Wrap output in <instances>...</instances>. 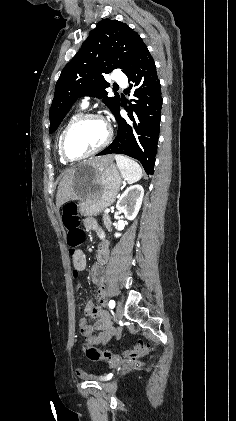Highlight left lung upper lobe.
<instances>
[{"instance_id": "5c2ea615", "label": "left lung upper lobe", "mask_w": 236, "mask_h": 421, "mask_svg": "<svg viewBox=\"0 0 236 421\" xmlns=\"http://www.w3.org/2000/svg\"><path fill=\"white\" fill-rule=\"evenodd\" d=\"M142 44L141 37L127 24L110 19L100 21L61 72L49 112V133L58 128L72 104L81 96L102 98L115 114L121 99L116 94L107 97L105 88L109 83L104 74L117 68L125 73Z\"/></svg>"}]
</instances>
